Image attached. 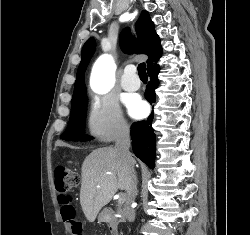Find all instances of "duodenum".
<instances>
[{
	"instance_id": "duodenum-1",
	"label": "duodenum",
	"mask_w": 250,
	"mask_h": 235,
	"mask_svg": "<svg viewBox=\"0 0 250 235\" xmlns=\"http://www.w3.org/2000/svg\"><path fill=\"white\" fill-rule=\"evenodd\" d=\"M106 215L108 216L107 225L109 231L112 235H117L119 230V224L124 222V216L121 213H112L111 211H107Z\"/></svg>"
}]
</instances>
